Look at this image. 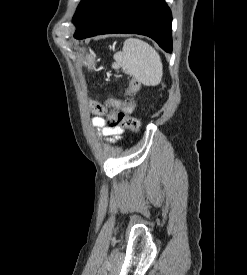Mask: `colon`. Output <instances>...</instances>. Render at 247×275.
Masks as SVG:
<instances>
[{
    "mask_svg": "<svg viewBox=\"0 0 247 275\" xmlns=\"http://www.w3.org/2000/svg\"><path fill=\"white\" fill-rule=\"evenodd\" d=\"M139 88V81L131 77L126 84L125 92L129 96H133L139 91ZM106 105L111 109L107 114L110 126L127 128L134 132L139 131L140 122L131 116L135 107L133 101H122L116 98H110L107 100ZM89 106L94 114H103L105 112V107L97 101L90 100Z\"/></svg>",
    "mask_w": 247,
    "mask_h": 275,
    "instance_id": "obj_1",
    "label": "colon"
}]
</instances>
